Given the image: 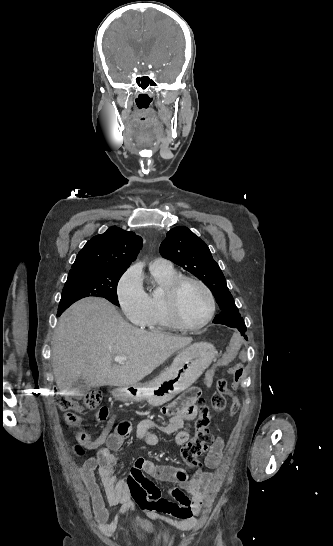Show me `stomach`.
<instances>
[{
	"label": "stomach",
	"instance_id": "obj_1",
	"mask_svg": "<svg viewBox=\"0 0 333 546\" xmlns=\"http://www.w3.org/2000/svg\"><path fill=\"white\" fill-rule=\"evenodd\" d=\"M216 356L217 350L214 345L207 342L194 343L182 349L172 365L153 381L120 386L112 391V396L119 402L146 400L154 406L163 405L189 388Z\"/></svg>",
	"mask_w": 333,
	"mask_h": 546
}]
</instances>
